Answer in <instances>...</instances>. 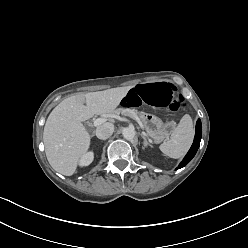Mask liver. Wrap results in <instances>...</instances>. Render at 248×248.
<instances>
[{"label":"liver","instance_id":"obj_1","mask_svg":"<svg viewBox=\"0 0 248 248\" xmlns=\"http://www.w3.org/2000/svg\"><path fill=\"white\" fill-rule=\"evenodd\" d=\"M132 86L77 93L60 102L43 131L45 153L52 168L71 176L90 147L91 136L82 124L94 115L113 112ZM86 103V105H84Z\"/></svg>","mask_w":248,"mask_h":248}]
</instances>
